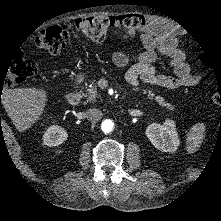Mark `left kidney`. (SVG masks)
<instances>
[{"label": "left kidney", "mask_w": 221, "mask_h": 221, "mask_svg": "<svg viewBox=\"0 0 221 221\" xmlns=\"http://www.w3.org/2000/svg\"><path fill=\"white\" fill-rule=\"evenodd\" d=\"M145 133L151 144L162 152H175L182 144L176 120L171 117L165 118L162 124H149Z\"/></svg>", "instance_id": "obj_1"}]
</instances>
